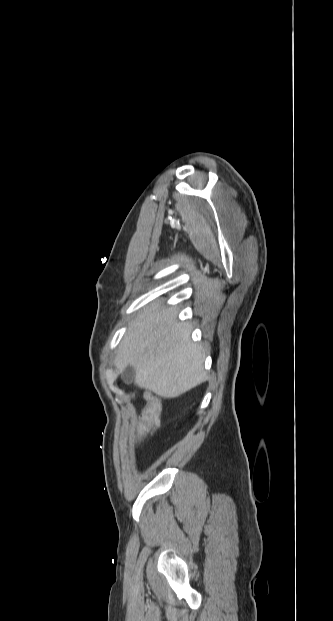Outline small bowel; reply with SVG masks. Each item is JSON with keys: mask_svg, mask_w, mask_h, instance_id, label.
Returning a JSON list of instances; mask_svg holds the SVG:
<instances>
[{"mask_svg": "<svg viewBox=\"0 0 333 621\" xmlns=\"http://www.w3.org/2000/svg\"><path fill=\"white\" fill-rule=\"evenodd\" d=\"M149 395H150V394H148V395H147V399H148Z\"/></svg>", "mask_w": 333, "mask_h": 621, "instance_id": "c3829d8e", "label": "small bowel"}]
</instances>
